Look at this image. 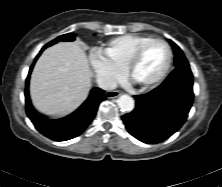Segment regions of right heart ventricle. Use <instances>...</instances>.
<instances>
[{"instance_id": "e07e8e85", "label": "right heart ventricle", "mask_w": 222, "mask_h": 187, "mask_svg": "<svg viewBox=\"0 0 222 187\" xmlns=\"http://www.w3.org/2000/svg\"><path fill=\"white\" fill-rule=\"evenodd\" d=\"M147 38L149 37L139 34H127L112 38L105 44L104 57L121 70H124L125 64L134 49Z\"/></svg>"}]
</instances>
